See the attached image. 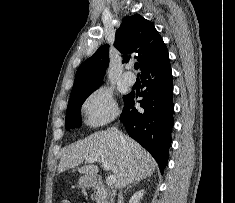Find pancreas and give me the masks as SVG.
<instances>
[{
    "mask_svg": "<svg viewBox=\"0 0 235 203\" xmlns=\"http://www.w3.org/2000/svg\"><path fill=\"white\" fill-rule=\"evenodd\" d=\"M97 203H113L112 198L105 188L101 187L96 192Z\"/></svg>",
    "mask_w": 235,
    "mask_h": 203,
    "instance_id": "pancreas-1",
    "label": "pancreas"
}]
</instances>
